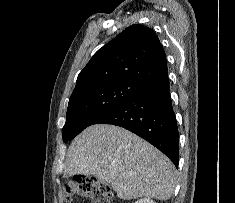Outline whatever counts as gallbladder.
Segmentation results:
<instances>
[{
	"instance_id": "bac80fb5",
	"label": "gallbladder",
	"mask_w": 235,
	"mask_h": 203,
	"mask_svg": "<svg viewBox=\"0 0 235 203\" xmlns=\"http://www.w3.org/2000/svg\"><path fill=\"white\" fill-rule=\"evenodd\" d=\"M99 184H100V185H105V184H106V181H105V180H100V181H99Z\"/></svg>"
}]
</instances>
